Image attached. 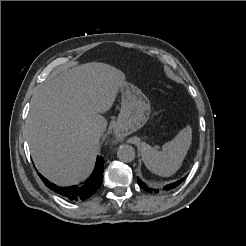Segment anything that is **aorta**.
<instances>
[{"instance_id": "1", "label": "aorta", "mask_w": 246, "mask_h": 246, "mask_svg": "<svg viewBox=\"0 0 246 246\" xmlns=\"http://www.w3.org/2000/svg\"><path fill=\"white\" fill-rule=\"evenodd\" d=\"M117 157L123 162H131L135 159V150L131 145L123 144L117 150Z\"/></svg>"}]
</instances>
